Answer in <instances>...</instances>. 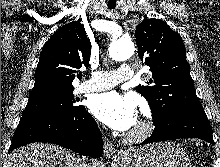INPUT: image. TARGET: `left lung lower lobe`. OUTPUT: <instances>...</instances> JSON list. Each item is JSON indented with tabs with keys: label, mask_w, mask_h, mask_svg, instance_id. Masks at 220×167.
I'll list each match as a JSON object with an SVG mask.
<instances>
[{
	"label": "left lung lower lobe",
	"mask_w": 220,
	"mask_h": 167,
	"mask_svg": "<svg viewBox=\"0 0 220 167\" xmlns=\"http://www.w3.org/2000/svg\"><path fill=\"white\" fill-rule=\"evenodd\" d=\"M154 125L152 136L141 144L180 138H200L214 144L212 129L203 107L177 110L164 116L160 121L154 122Z\"/></svg>",
	"instance_id": "obj_1"
}]
</instances>
